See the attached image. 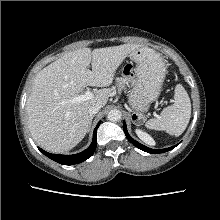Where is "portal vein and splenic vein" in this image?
I'll return each instance as SVG.
<instances>
[{
	"label": "portal vein and splenic vein",
	"mask_w": 220,
	"mask_h": 220,
	"mask_svg": "<svg viewBox=\"0 0 220 220\" xmlns=\"http://www.w3.org/2000/svg\"><path fill=\"white\" fill-rule=\"evenodd\" d=\"M93 97H94L93 93L91 91L87 90L85 94L80 95V96L72 99V102L86 101V100L92 99Z\"/></svg>",
	"instance_id": "obj_1"
}]
</instances>
